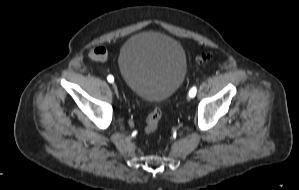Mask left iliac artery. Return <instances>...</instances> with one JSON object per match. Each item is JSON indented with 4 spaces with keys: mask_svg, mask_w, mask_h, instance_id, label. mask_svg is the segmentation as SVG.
<instances>
[{
    "mask_svg": "<svg viewBox=\"0 0 299 190\" xmlns=\"http://www.w3.org/2000/svg\"><path fill=\"white\" fill-rule=\"evenodd\" d=\"M196 92H197L196 87L191 88V90L189 91V96L194 97L196 95Z\"/></svg>",
    "mask_w": 299,
    "mask_h": 190,
    "instance_id": "1",
    "label": "left iliac artery"
}]
</instances>
